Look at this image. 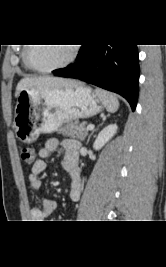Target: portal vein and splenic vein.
<instances>
[{
  "mask_svg": "<svg viewBox=\"0 0 166 267\" xmlns=\"http://www.w3.org/2000/svg\"><path fill=\"white\" fill-rule=\"evenodd\" d=\"M92 129H94V125H92V124L88 125L86 128V130H92Z\"/></svg>",
  "mask_w": 166,
  "mask_h": 267,
  "instance_id": "18ae733b",
  "label": "portal vein and splenic vein"
}]
</instances>
